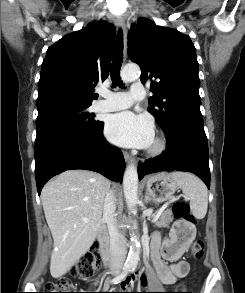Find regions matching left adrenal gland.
<instances>
[{"label": "left adrenal gland", "mask_w": 245, "mask_h": 293, "mask_svg": "<svg viewBox=\"0 0 245 293\" xmlns=\"http://www.w3.org/2000/svg\"><path fill=\"white\" fill-rule=\"evenodd\" d=\"M144 201L147 204V203L151 202V198L146 194Z\"/></svg>", "instance_id": "obj_1"}]
</instances>
